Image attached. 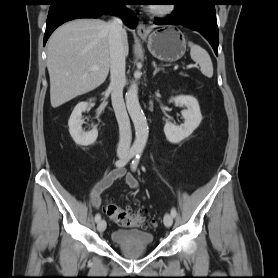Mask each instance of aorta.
Segmentation results:
<instances>
[{"label":"aorta","instance_id":"762f6f07","mask_svg":"<svg viewBox=\"0 0 278 278\" xmlns=\"http://www.w3.org/2000/svg\"><path fill=\"white\" fill-rule=\"evenodd\" d=\"M126 106L135 128L133 148L141 152L147 143L148 124L139 103L137 84L135 82L126 93Z\"/></svg>","mask_w":278,"mask_h":278}]
</instances>
